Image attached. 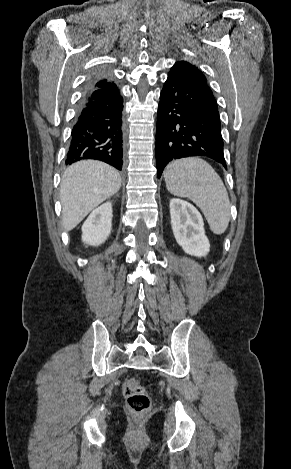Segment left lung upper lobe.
Listing matches in <instances>:
<instances>
[{
    "mask_svg": "<svg viewBox=\"0 0 291 469\" xmlns=\"http://www.w3.org/2000/svg\"><path fill=\"white\" fill-rule=\"evenodd\" d=\"M173 70H179L182 71L187 78L190 80L194 81L201 87L209 90V86L207 85L206 78L204 74L194 65L190 64L189 62L186 61H178L175 63V65L172 67L171 71Z\"/></svg>",
    "mask_w": 291,
    "mask_h": 469,
    "instance_id": "5c2ea615",
    "label": "left lung upper lobe"
}]
</instances>
